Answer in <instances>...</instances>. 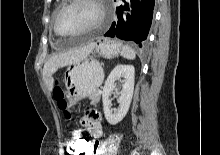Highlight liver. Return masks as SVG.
Segmentation results:
<instances>
[{"label":"liver","instance_id":"liver-1","mask_svg":"<svg viewBox=\"0 0 220 155\" xmlns=\"http://www.w3.org/2000/svg\"><path fill=\"white\" fill-rule=\"evenodd\" d=\"M93 48V45H89L83 48H74L60 52L50 57L46 61L42 71V77L48 90L51 92L54 88L53 75L58 69L67 65L76 64L84 60L93 50Z\"/></svg>","mask_w":220,"mask_h":155}]
</instances>
